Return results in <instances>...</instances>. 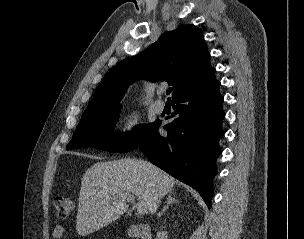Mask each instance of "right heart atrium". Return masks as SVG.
I'll return each instance as SVG.
<instances>
[{
    "mask_svg": "<svg viewBox=\"0 0 304 239\" xmlns=\"http://www.w3.org/2000/svg\"><path fill=\"white\" fill-rule=\"evenodd\" d=\"M139 118L135 112L127 114L121 121L120 131L124 136L132 135L138 125Z\"/></svg>",
    "mask_w": 304,
    "mask_h": 239,
    "instance_id": "d8ad5b80",
    "label": "right heart atrium"
}]
</instances>
